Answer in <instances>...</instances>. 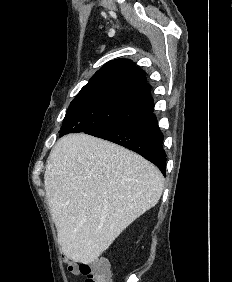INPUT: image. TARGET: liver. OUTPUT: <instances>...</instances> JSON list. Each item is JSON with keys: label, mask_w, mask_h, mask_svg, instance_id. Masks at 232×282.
Instances as JSON below:
<instances>
[{"label": "liver", "mask_w": 232, "mask_h": 282, "mask_svg": "<svg viewBox=\"0 0 232 282\" xmlns=\"http://www.w3.org/2000/svg\"><path fill=\"white\" fill-rule=\"evenodd\" d=\"M161 172L140 155L77 133L50 152L44 189L67 258L90 264L163 192Z\"/></svg>", "instance_id": "obj_1"}]
</instances>
